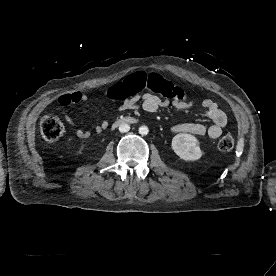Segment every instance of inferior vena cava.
Returning <instances> with one entry per match:
<instances>
[{
    "instance_id": "inferior-vena-cava-1",
    "label": "inferior vena cava",
    "mask_w": 276,
    "mask_h": 276,
    "mask_svg": "<svg viewBox=\"0 0 276 276\" xmlns=\"http://www.w3.org/2000/svg\"><path fill=\"white\" fill-rule=\"evenodd\" d=\"M129 130H130V126H129L128 124H126V123H121V124L119 125V131H120L121 133L128 132Z\"/></svg>"
}]
</instances>
